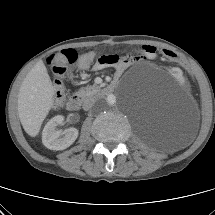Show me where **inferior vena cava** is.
Masks as SVG:
<instances>
[{"instance_id": "602c4592", "label": "inferior vena cava", "mask_w": 215, "mask_h": 215, "mask_svg": "<svg viewBox=\"0 0 215 215\" xmlns=\"http://www.w3.org/2000/svg\"><path fill=\"white\" fill-rule=\"evenodd\" d=\"M96 104V101L94 99L86 100L83 104V108L85 110H88L92 108Z\"/></svg>"}]
</instances>
